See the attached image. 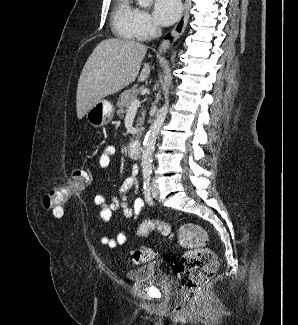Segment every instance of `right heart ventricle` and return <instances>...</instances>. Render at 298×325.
<instances>
[{"mask_svg":"<svg viewBox=\"0 0 298 325\" xmlns=\"http://www.w3.org/2000/svg\"><path fill=\"white\" fill-rule=\"evenodd\" d=\"M137 8L127 0L119 1L112 12L111 23L114 37H130L127 33L136 24Z\"/></svg>","mask_w":298,"mask_h":325,"instance_id":"1","label":"right heart ventricle"}]
</instances>
